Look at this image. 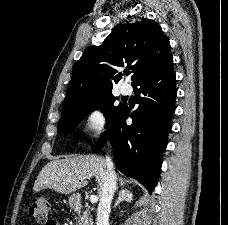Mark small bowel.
I'll use <instances>...</instances> for the list:
<instances>
[{
  "label": "small bowel",
  "mask_w": 228,
  "mask_h": 225,
  "mask_svg": "<svg viewBox=\"0 0 228 225\" xmlns=\"http://www.w3.org/2000/svg\"><path fill=\"white\" fill-rule=\"evenodd\" d=\"M52 225H60V224H59L57 221H54V220H53Z\"/></svg>",
  "instance_id": "1"
}]
</instances>
